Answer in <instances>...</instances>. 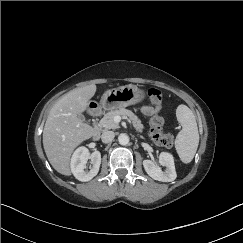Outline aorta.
<instances>
[{
    "label": "aorta",
    "instance_id": "obj_1",
    "mask_svg": "<svg viewBox=\"0 0 243 243\" xmlns=\"http://www.w3.org/2000/svg\"><path fill=\"white\" fill-rule=\"evenodd\" d=\"M118 141H119V144H121V145H127L129 143V136L122 133L118 136Z\"/></svg>",
    "mask_w": 243,
    "mask_h": 243
}]
</instances>
